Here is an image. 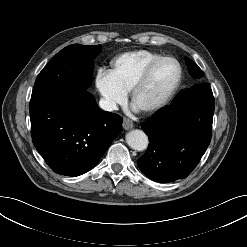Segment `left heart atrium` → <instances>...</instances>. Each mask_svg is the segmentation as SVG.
<instances>
[{
	"label": "left heart atrium",
	"mask_w": 247,
	"mask_h": 247,
	"mask_svg": "<svg viewBox=\"0 0 247 247\" xmlns=\"http://www.w3.org/2000/svg\"><path fill=\"white\" fill-rule=\"evenodd\" d=\"M132 108L134 111L140 110V108L135 103L133 104Z\"/></svg>",
	"instance_id": "39dd6f15"
}]
</instances>
